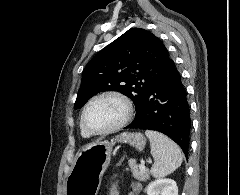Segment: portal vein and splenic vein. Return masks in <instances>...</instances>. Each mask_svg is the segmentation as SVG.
Segmentation results:
<instances>
[{"instance_id": "18ae733b", "label": "portal vein and splenic vein", "mask_w": 240, "mask_h": 195, "mask_svg": "<svg viewBox=\"0 0 240 195\" xmlns=\"http://www.w3.org/2000/svg\"><path fill=\"white\" fill-rule=\"evenodd\" d=\"M139 167H140L141 171H145V163H144V161H141Z\"/></svg>"}]
</instances>
